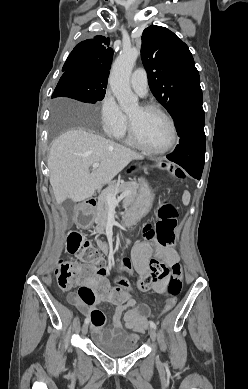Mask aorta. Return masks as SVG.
<instances>
[{"label":"aorta","mask_w":248,"mask_h":389,"mask_svg":"<svg viewBox=\"0 0 248 389\" xmlns=\"http://www.w3.org/2000/svg\"><path fill=\"white\" fill-rule=\"evenodd\" d=\"M139 54V49L135 47L124 48L112 67L109 84L123 111L138 106V98L130 87V75Z\"/></svg>","instance_id":"obj_1"}]
</instances>
